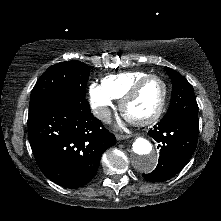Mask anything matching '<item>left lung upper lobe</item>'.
Returning a JSON list of instances; mask_svg holds the SVG:
<instances>
[{
    "instance_id": "5c2ea615",
    "label": "left lung upper lobe",
    "mask_w": 221,
    "mask_h": 221,
    "mask_svg": "<svg viewBox=\"0 0 221 221\" xmlns=\"http://www.w3.org/2000/svg\"><path fill=\"white\" fill-rule=\"evenodd\" d=\"M172 80V97L169 109L162 119L184 118L199 127L198 105L192 85L177 71L165 67Z\"/></svg>"
}]
</instances>
